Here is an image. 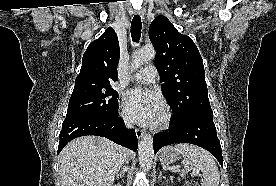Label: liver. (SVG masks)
<instances>
[{
    "label": "liver",
    "mask_w": 276,
    "mask_h": 186,
    "mask_svg": "<svg viewBox=\"0 0 276 186\" xmlns=\"http://www.w3.org/2000/svg\"><path fill=\"white\" fill-rule=\"evenodd\" d=\"M129 156V151L106 138H76L59 155L63 186H112Z\"/></svg>",
    "instance_id": "6515ba94"
}]
</instances>
